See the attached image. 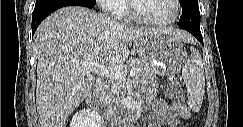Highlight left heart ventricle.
Returning a JSON list of instances; mask_svg holds the SVG:
<instances>
[{
  "label": "left heart ventricle",
  "instance_id": "left-heart-ventricle-1",
  "mask_svg": "<svg viewBox=\"0 0 243 127\" xmlns=\"http://www.w3.org/2000/svg\"><path fill=\"white\" fill-rule=\"evenodd\" d=\"M137 10L144 17L163 20L173 15L174 6L171 0H138Z\"/></svg>",
  "mask_w": 243,
  "mask_h": 127
}]
</instances>
